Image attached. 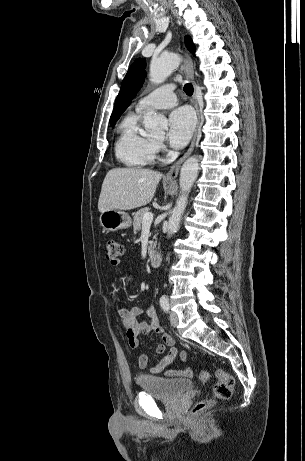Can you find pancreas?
Here are the masks:
<instances>
[{
    "instance_id": "obj_1",
    "label": "pancreas",
    "mask_w": 305,
    "mask_h": 461,
    "mask_svg": "<svg viewBox=\"0 0 305 461\" xmlns=\"http://www.w3.org/2000/svg\"><path fill=\"white\" fill-rule=\"evenodd\" d=\"M149 212V208H142L138 212L135 213L134 219H133V228H134V233L136 234L138 231L141 230V226L143 224V216L145 213ZM156 237L154 236V239ZM149 251L154 248V242L149 241Z\"/></svg>"
}]
</instances>
